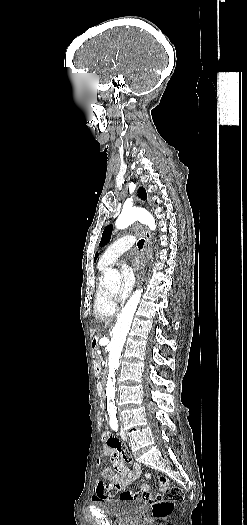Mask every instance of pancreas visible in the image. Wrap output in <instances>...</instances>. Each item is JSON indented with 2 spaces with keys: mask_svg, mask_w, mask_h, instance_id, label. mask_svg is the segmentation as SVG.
Listing matches in <instances>:
<instances>
[{
  "mask_svg": "<svg viewBox=\"0 0 247 525\" xmlns=\"http://www.w3.org/2000/svg\"><path fill=\"white\" fill-rule=\"evenodd\" d=\"M98 352H100V349H94V356H93V359H94L95 361L100 360V354H98Z\"/></svg>",
  "mask_w": 247,
  "mask_h": 525,
  "instance_id": "obj_1",
  "label": "pancreas"
}]
</instances>
